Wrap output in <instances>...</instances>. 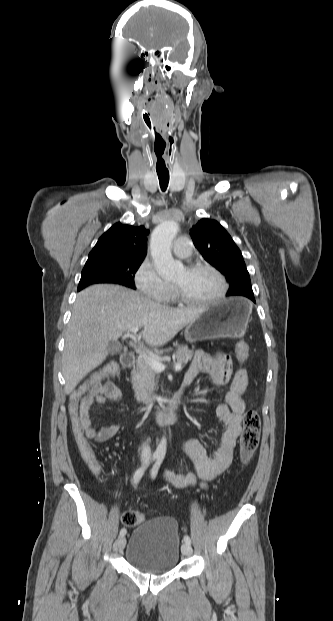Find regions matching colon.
I'll use <instances>...</instances> for the list:
<instances>
[{
	"label": "colon",
	"mask_w": 333,
	"mask_h": 621,
	"mask_svg": "<svg viewBox=\"0 0 333 621\" xmlns=\"http://www.w3.org/2000/svg\"><path fill=\"white\" fill-rule=\"evenodd\" d=\"M248 354V344L244 341H239L236 346V355L238 360L240 362H245L248 358ZM118 374V364L114 362L108 363L98 372H96L87 381V384L92 385L95 383H102L105 378L117 376ZM69 417L78 452L89 470L94 475H98L100 473V466L91 447L87 442L84 427L79 416L78 399L76 396L72 398V401L69 405ZM260 433V417L255 410L250 409L244 415L243 430L240 437V457L244 464L248 463L252 459L255 451L257 450L260 440ZM145 519L146 517L142 512L135 510H128L124 512L121 517L122 523L127 527L139 525L143 523Z\"/></svg>",
	"instance_id": "1"
}]
</instances>
